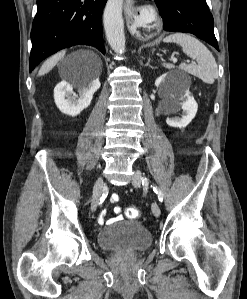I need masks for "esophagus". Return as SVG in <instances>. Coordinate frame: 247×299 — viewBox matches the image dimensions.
<instances>
[{"label":"esophagus","instance_id":"obj_1","mask_svg":"<svg viewBox=\"0 0 247 299\" xmlns=\"http://www.w3.org/2000/svg\"><path fill=\"white\" fill-rule=\"evenodd\" d=\"M133 4H134L133 0H125V2H124V8L125 9H129V8H131L133 6Z\"/></svg>","mask_w":247,"mask_h":299}]
</instances>
